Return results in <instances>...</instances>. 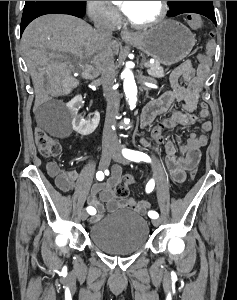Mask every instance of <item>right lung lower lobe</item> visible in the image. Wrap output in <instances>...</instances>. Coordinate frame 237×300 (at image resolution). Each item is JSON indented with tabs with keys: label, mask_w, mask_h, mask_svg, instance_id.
<instances>
[{
	"label": "right lung lower lobe",
	"mask_w": 237,
	"mask_h": 300,
	"mask_svg": "<svg viewBox=\"0 0 237 300\" xmlns=\"http://www.w3.org/2000/svg\"><path fill=\"white\" fill-rule=\"evenodd\" d=\"M69 14L77 17H82L85 13V4L58 5L44 9H40L26 17H22L20 31L23 33L26 26L35 18L46 14Z\"/></svg>",
	"instance_id": "1"
}]
</instances>
